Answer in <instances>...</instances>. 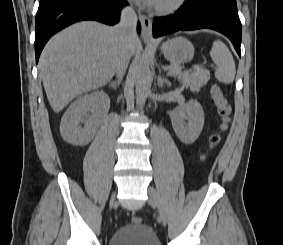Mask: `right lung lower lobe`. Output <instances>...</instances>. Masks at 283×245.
Here are the masks:
<instances>
[{
	"instance_id": "obj_1",
	"label": "right lung lower lobe",
	"mask_w": 283,
	"mask_h": 245,
	"mask_svg": "<svg viewBox=\"0 0 283 245\" xmlns=\"http://www.w3.org/2000/svg\"><path fill=\"white\" fill-rule=\"evenodd\" d=\"M127 4L126 0H40L36 14V62L49 38L64 27L81 20L113 25Z\"/></svg>"
}]
</instances>
